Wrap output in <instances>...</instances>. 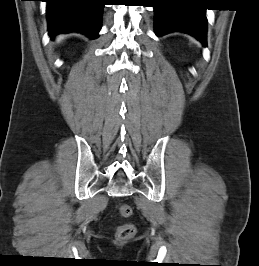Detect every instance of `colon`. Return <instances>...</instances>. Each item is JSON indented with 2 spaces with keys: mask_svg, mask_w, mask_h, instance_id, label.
I'll list each match as a JSON object with an SVG mask.
<instances>
[{
  "mask_svg": "<svg viewBox=\"0 0 259 266\" xmlns=\"http://www.w3.org/2000/svg\"><path fill=\"white\" fill-rule=\"evenodd\" d=\"M118 214L127 218L132 214V208L128 204H119L117 206ZM135 226L131 223H124L117 227L116 236L119 240H128L132 238L135 234Z\"/></svg>",
  "mask_w": 259,
  "mask_h": 266,
  "instance_id": "5ec220e1",
  "label": "colon"
}]
</instances>
